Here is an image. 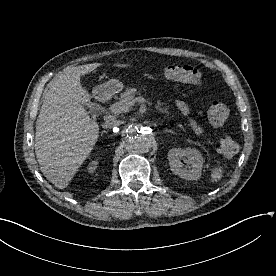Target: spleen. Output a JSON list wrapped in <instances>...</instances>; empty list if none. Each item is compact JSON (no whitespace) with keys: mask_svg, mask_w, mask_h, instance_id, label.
<instances>
[{"mask_svg":"<svg viewBox=\"0 0 276 276\" xmlns=\"http://www.w3.org/2000/svg\"><path fill=\"white\" fill-rule=\"evenodd\" d=\"M225 169L222 166H217L212 169L211 172V182H218L219 180L222 179L224 175Z\"/></svg>","mask_w":276,"mask_h":276,"instance_id":"3e777b00","label":"spleen"}]
</instances>
